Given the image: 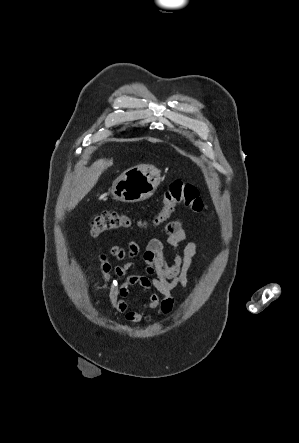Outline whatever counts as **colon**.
<instances>
[{"instance_id": "obj_1", "label": "colon", "mask_w": 299, "mask_h": 443, "mask_svg": "<svg viewBox=\"0 0 299 443\" xmlns=\"http://www.w3.org/2000/svg\"><path fill=\"white\" fill-rule=\"evenodd\" d=\"M179 205H185L197 214H203L205 210L204 202L196 186L181 180H175L171 182L164 193L162 207L153 219V223L160 225L166 222ZM131 225L132 219L127 214L117 211H104L92 221L89 234L92 238H96L105 232Z\"/></svg>"}]
</instances>
